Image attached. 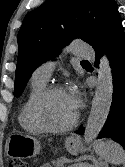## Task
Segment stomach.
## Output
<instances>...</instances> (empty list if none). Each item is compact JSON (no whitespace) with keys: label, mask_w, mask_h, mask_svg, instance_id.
<instances>
[{"label":"stomach","mask_w":125,"mask_h":167,"mask_svg":"<svg viewBox=\"0 0 125 167\" xmlns=\"http://www.w3.org/2000/svg\"><path fill=\"white\" fill-rule=\"evenodd\" d=\"M65 147L71 154H77L81 149V142L77 138H69ZM40 149L39 141L27 134H12L6 142V154L12 158H32L40 152Z\"/></svg>","instance_id":"obj_1"}]
</instances>
